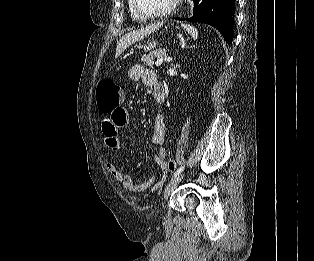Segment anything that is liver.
I'll list each match as a JSON object with an SVG mask.
<instances>
[{
    "label": "liver",
    "mask_w": 314,
    "mask_h": 261,
    "mask_svg": "<svg viewBox=\"0 0 314 261\" xmlns=\"http://www.w3.org/2000/svg\"><path fill=\"white\" fill-rule=\"evenodd\" d=\"M157 27L158 25H150V26H147L146 28L133 31L122 36V38L119 40V43L116 47L115 57L116 58L119 57L121 53L125 49H127L128 46L135 43L136 41L143 39L144 37L152 33L154 30H156Z\"/></svg>",
    "instance_id": "liver-1"
}]
</instances>
